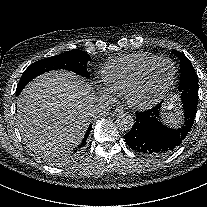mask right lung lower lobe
<instances>
[{
  "label": "right lung lower lobe",
  "mask_w": 207,
  "mask_h": 207,
  "mask_svg": "<svg viewBox=\"0 0 207 207\" xmlns=\"http://www.w3.org/2000/svg\"><path fill=\"white\" fill-rule=\"evenodd\" d=\"M91 129H92V125L89 126V128H88V130H87V132H86V135H85V137H84V139H83V142H82L81 146H83V145L85 144V140H86V138L88 137V135H89Z\"/></svg>",
  "instance_id": "98d812e1"
}]
</instances>
